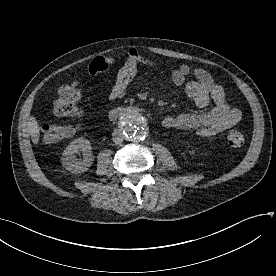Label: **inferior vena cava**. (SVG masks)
Returning <instances> with one entry per match:
<instances>
[{
	"label": "inferior vena cava",
	"mask_w": 276,
	"mask_h": 276,
	"mask_svg": "<svg viewBox=\"0 0 276 276\" xmlns=\"http://www.w3.org/2000/svg\"><path fill=\"white\" fill-rule=\"evenodd\" d=\"M112 140H113V142L115 143V144H121L122 142H123V140H124V136H123V134H122V132L121 131H114L113 133H112Z\"/></svg>",
	"instance_id": "inferior-vena-cava-1"
}]
</instances>
